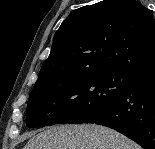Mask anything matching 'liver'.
Masks as SVG:
<instances>
[{
	"mask_svg": "<svg viewBox=\"0 0 155 149\" xmlns=\"http://www.w3.org/2000/svg\"><path fill=\"white\" fill-rule=\"evenodd\" d=\"M23 149H141L132 140L95 124L60 125L34 135Z\"/></svg>",
	"mask_w": 155,
	"mask_h": 149,
	"instance_id": "6515ba94",
	"label": "liver"
}]
</instances>
